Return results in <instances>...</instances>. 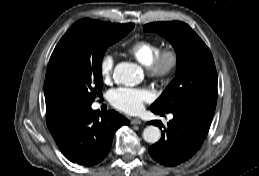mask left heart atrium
<instances>
[{"mask_svg":"<svg viewBox=\"0 0 259 176\" xmlns=\"http://www.w3.org/2000/svg\"><path fill=\"white\" fill-rule=\"evenodd\" d=\"M152 99V94L145 88L120 87L109 94L111 104L118 110L127 114H137L145 102Z\"/></svg>","mask_w":259,"mask_h":176,"instance_id":"39dd6f15","label":"left heart atrium"}]
</instances>
